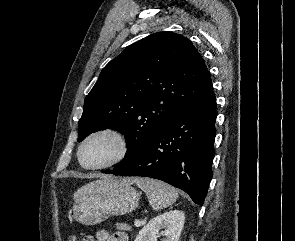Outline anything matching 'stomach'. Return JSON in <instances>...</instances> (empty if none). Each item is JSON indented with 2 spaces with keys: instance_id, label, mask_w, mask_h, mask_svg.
<instances>
[{
  "instance_id": "1",
  "label": "stomach",
  "mask_w": 295,
  "mask_h": 241,
  "mask_svg": "<svg viewBox=\"0 0 295 241\" xmlns=\"http://www.w3.org/2000/svg\"><path fill=\"white\" fill-rule=\"evenodd\" d=\"M139 193L125 179L93 183L75 198L73 217L84 225L100 224L110 216L125 215L137 208Z\"/></svg>"
}]
</instances>
